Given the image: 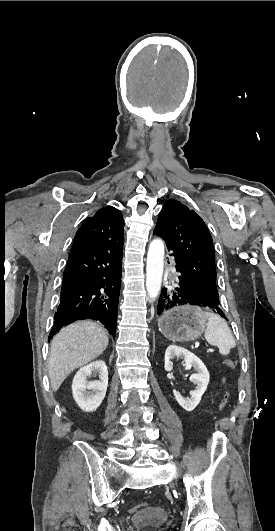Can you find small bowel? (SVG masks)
<instances>
[{"label": "small bowel", "mask_w": 275, "mask_h": 531, "mask_svg": "<svg viewBox=\"0 0 275 531\" xmlns=\"http://www.w3.org/2000/svg\"><path fill=\"white\" fill-rule=\"evenodd\" d=\"M225 381H226L225 378H222V379H221V384H224Z\"/></svg>", "instance_id": "1"}]
</instances>
